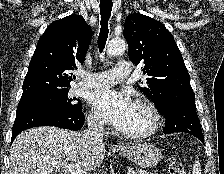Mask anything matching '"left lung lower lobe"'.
Listing matches in <instances>:
<instances>
[{
    "instance_id": "obj_1",
    "label": "left lung lower lobe",
    "mask_w": 224,
    "mask_h": 174,
    "mask_svg": "<svg viewBox=\"0 0 224 174\" xmlns=\"http://www.w3.org/2000/svg\"><path fill=\"white\" fill-rule=\"evenodd\" d=\"M194 99L174 97L168 100L165 108L160 111L166 118L163 133L185 132L204 143Z\"/></svg>"
}]
</instances>
